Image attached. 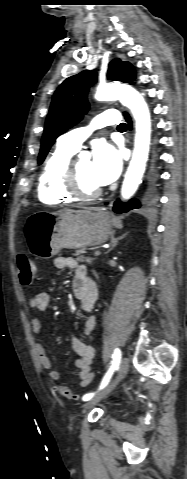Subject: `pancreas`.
<instances>
[{
  "label": "pancreas",
  "mask_w": 187,
  "mask_h": 479,
  "mask_svg": "<svg viewBox=\"0 0 187 479\" xmlns=\"http://www.w3.org/2000/svg\"><path fill=\"white\" fill-rule=\"evenodd\" d=\"M81 251H77L74 255L76 256V260L79 262H88L91 263L93 261L92 258L85 257Z\"/></svg>",
  "instance_id": "obj_1"
}]
</instances>
